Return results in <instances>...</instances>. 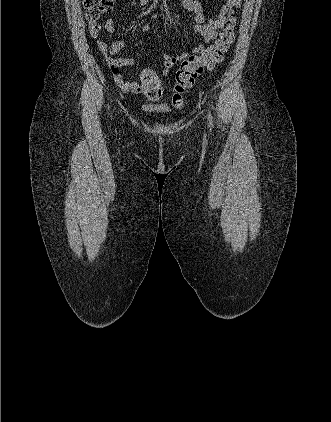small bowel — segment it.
<instances>
[{
  "mask_svg": "<svg viewBox=\"0 0 331 422\" xmlns=\"http://www.w3.org/2000/svg\"><path fill=\"white\" fill-rule=\"evenodd\" d=\"M130 3L137 7V5L145 6L150 3L151 0H129ZM241 0H226L225 3L220 5L217 16L205 22L202 6L197 0H181V5L189 12L194 15L195 26L194 30L197 33L199 39L204 43H209L214 40L217 36V31L221 29L226 23L227 19L234 14V12L240 7ZM90 35L96 38V44L102 53L110 71L113 76L115 83L124 92L141 93L143 91L142 84L138 81L127 80L120 72L121 67H133L134 61L129 57H114L124 46V41L119 39L114 41L111 45H108L101 37L100 33L102 27L96 22H89ZM104 30L108 33L115 31L114 21L107 19L104 23ZM142 32L150 31L149 25H144L141 28ZM205 51L204 45H197L191 53H182L179 55H163V66L165 73L168 72L172 67L180 64L183 60L190 57H197Z\"/></svg>",
  "mask_w": 331,
  "mask_h": 422,
  "instance_id": "small-bowel-1",
  "label": "small bowel"
}]
</instances>
